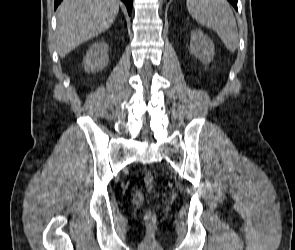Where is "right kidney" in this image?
Returning <instances> with one entry per match:
<instances>
[{
    "mask_svg": "<svg viewBox=\"0 0 295 250\" xmlns=\"http://www.w3.org/2000/svg\"><path fill=\"white\" fill-rule=\"evenodd\" d=\"M108 44L104 41L94 43L89 47L83 60L86 72L102 71L108 64Z\"/></svg>",
    "mask_w": 295,
    "mask_h": 250,
    "instance_id": "obj_1",
    "label": "right kidney"
}]
</instances>
